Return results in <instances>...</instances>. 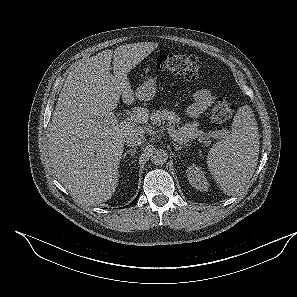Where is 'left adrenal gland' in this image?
<instances>
[{"label":"left adrenal gland","instance_id":"1","mask_svg":"<svg viewBox=\"0 0 297 297\" xmlns=\"http://www.w3.org/2000/svg\"><path fill=\"white\" fill-rule=\"evenodd\" d=\"M173 146L175 148V151H180L182 148H185L186 146H188L187 144H181V145H178L176 143H173Z\"/></svg>","mask_w":297,"mask_h":297}]
</instances>
